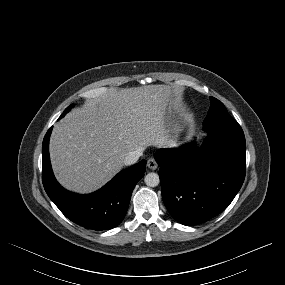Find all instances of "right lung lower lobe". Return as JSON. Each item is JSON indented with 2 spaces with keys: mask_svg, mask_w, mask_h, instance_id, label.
<instances>
[{
  "mask_svg": "<svg viewBox=\"0 0 285 285\" xmlns=\"http://www.w3.org/2000/svg\"><path fill=\"white\" fill-rule=\"evenodd\" d=\"M51 132L52 127L42 144V181L49 198L68 219L85 228L107 230L119 225L127 212L132 191L144 175L146 161L122 170L94 193H72L61 187L54 177L49 157Z\"/></svg>",
  "mask_w": 285,
  "mask_h": 285,
  "instance_id": "98d812e1",
  "label": "right lung lower lobe"
}]
</instances>
